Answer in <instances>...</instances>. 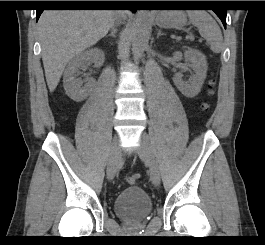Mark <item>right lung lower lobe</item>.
I'll return each mask as SVG.
<instances>
[{
  "instance_id": "98d812e1",
  "label": "right lung lower lobe",
  "mask_w": 265,
  "mask_h": 245,
  "mask_svg": "<svg viewBox=\"0 0 265 245\" xmlns=\"http://www.w3.org/2000/svg\"><path fill=\"white\" fill-rule=\"evenodd\" d=\"M53 6H72L70 4L66 3H53ZM77 6L79 7H131L133 12L136 11L134 8L135 5L130 3L129 1H83ZM36 20L38 21L41 13L43 12V9H37L36 10Z\"/></svg>"
}]
</instances>
